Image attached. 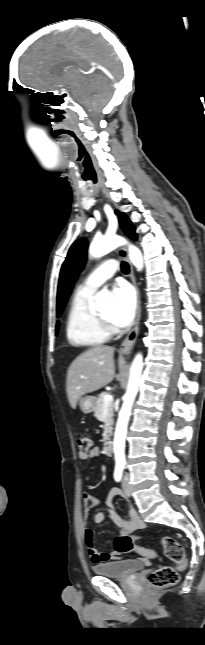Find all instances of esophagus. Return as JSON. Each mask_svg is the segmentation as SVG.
Masks as SVG:
<instances>
[{"label":"esophagus","mask_w":205,"mask_h":645,"mask_svg":"<svg viewBox=\"0 0 205 645\" xmlns=\"http://www.w3.org/2000/svg\"><path fill=\"white\" fill-rule=\"evenodd\" d=\"M119 251H120V255H121V256L128 258L127 249H126L125 247L120 248V250H119ZM130 278H131V281H132V283H133V285L135 286V289H136V295H137V315H136V323H135V326H134V327H133V329L128 333V335L126 336V338L124 339V341L122 342V344H121V346H120V352H121V353H123V354H127V353H129V352L131 351V349L133 348V345H134V343H135V341H136V339H137V337H138V333H139V320H140V312H141V306H140V292H139V288H138V285H137V282H136V279H135L134 270H133V267H132V265H131V264H130Z\"/></svg>","instance_id":"1"}]
</instances>
